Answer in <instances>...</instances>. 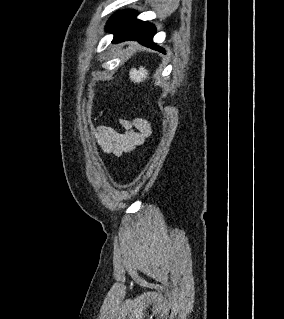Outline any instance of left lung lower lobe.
I'll use <instances>...</instances> for the list:
<instances>
[{
	"mask_svg": "<svg viewBox=\"0 0 284 319\" xmlns=\"http://www.w3.org/2000/svg\"><path fill=\"white\" fill-rule=\"evenodd\" d=\"M137 13L132 10L116 13L112 20L107 24L106 30L114 33L113 43L126 40H137L152 49L165 53L164 49L153 43L155 26L136 19Z\"/></svg>",
	"mask_w": 284,
	"mask_h": 319,
	"instance_id": "1",
	"label": "left lung lower lobe"
}]
</instances>
